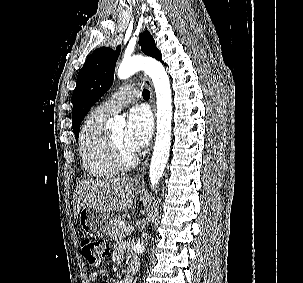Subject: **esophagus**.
<instances>
[{"instance_id":"1","label":"esophagus","mask_w":303,"mask_h":283,"mask_svg":"<svg viewBox=\"0 0 303 283\" xmlns=\"http://www.w3.org/2000/svg\"><path fill=\"white\" fill-rule=\"evenodd\" d=\"M141 78L148 85V87L150 89V92H151V105H152V108H153V112L155 114V112H156V108H155V94H154L152 83L148 79V77H146V76H142ZM150 157H151V151L148 153L147 157L145 158V160L143 161V163L141 164V166L137 170V173H136V176H135V183L136 184H143L144 183V175L146 173V169L148 167Z\"/></svg>"}]
</instances>
